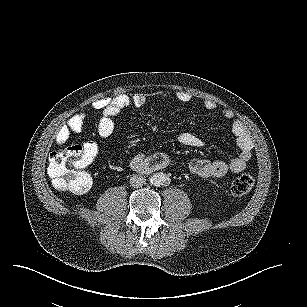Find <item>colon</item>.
Wrapping results in <instances>:
<instances>
[{
	"mask_svg": "<svg viewBox=\"0 0 307 307\" xmlns=\"http://www.w3.org/2000/svg\"><path fill=\"white\" fill-rule=\"evenodd\" d=\"M87 166L82 147L70 146L51 153L47 169L56 189L81 194L85 193L92 183ZM253 186L254 177L245 173L231 181L230 190L232 194L242 196L249 193Z\"/></svg>",
	"mask_w": 307,
	"mask_h": 307,
	"instance_id": "5ec220e1",
	"label": "colon"
}]
</instances>
